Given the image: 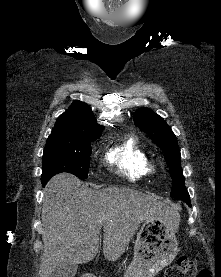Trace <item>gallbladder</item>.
<instances>
[{"label": "gallbladder", "instance_id": "obj_1", "mask_svg": "<svg viewBox=\"0 0 221 277\" xmlns=\"http://www.w3.org/2000/svg\"><path fill=\"white\" fill-rule=\"evenodd\" d=\"M77 272V265L63 262L58 265L50 277H74Z\"/></svg>", "mask_w": 221, "mask_h": 277}]
</instances>
